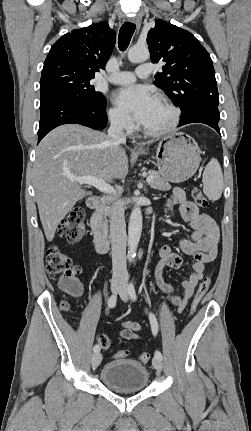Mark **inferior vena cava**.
<instances>
[{"instance_id": "1", "label": "inferior vena cava", "mask_w": 251, "mask_h": 431, "mask_svg": "<svg viewBox=\"0 0 251 431\" xmlns=\"http://www.w3.org/2000/svg\"><path fill=\"white\" fill-rule=\"evenodd\" d=\"M125 117L118 116L111 121L108 129V137L114 144H125L126 135L124 127ZM110 215V240L112 249L113 279L128 280L126 266V224L123 207L114 201L109 209Z\"/></svg>"}]
</instances>
